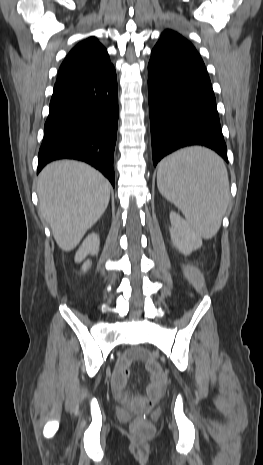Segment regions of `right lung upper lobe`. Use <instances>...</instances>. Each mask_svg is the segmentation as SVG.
I'll return each mask as SVG.
<instances>
[{
    "mask_svg": "<svg viewBox=\"0 0 263 465\" xmlns=\"http://www.w3.org/2000/svg\"><path fill=\"white\" fill-rule=\"evenodd\" d=\"M112 66L105 47L90 37L69 52L60 66L57 82L99 74Z\"/></svg>",
    "mask_w": 263,
    "mask_h": 465,
    "instance_id": "obj_1",
    "label": "right lung upper lobe"
}]
</instances>
